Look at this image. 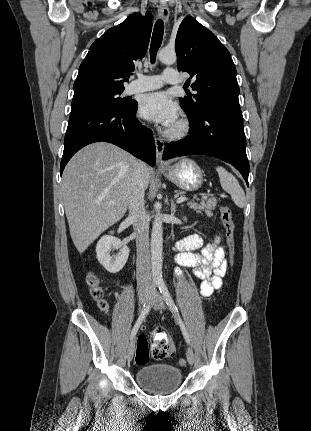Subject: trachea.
Instances as JSON below:
<instances>
[{
  "mask_svg": "<svg viewBox=\"0 0 311 431\" xmlns=\"http://www.w3.org/2000/svg\"><path fill=\"white\" fill-rule=\"evenodd\" d=\"M164 32L163 20H158L154 25V31L152 34V40L150 45V59L151 63H155L157 52L162 44ZM185 89L187 87H184Z\"/></svg>",
  "mask_w": 311,
  "mask_h": 431,
  "instance_id": "trachea-1",
  "label": "trachea"
}]
</instances>
